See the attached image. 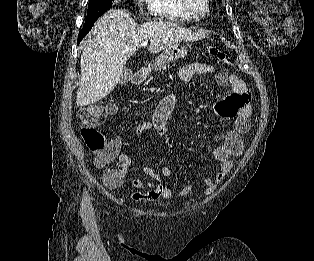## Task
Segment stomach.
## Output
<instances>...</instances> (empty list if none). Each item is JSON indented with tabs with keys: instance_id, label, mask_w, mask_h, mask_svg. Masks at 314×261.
Masks as SVG:
<instances>
[{
	"instance_id": "0dacf381",
	"label": "stomach",
	"mask_w": 314,
	"mask_h": 261,
	"mask_svg": "<svg viewBox=\"0 0 314 261\" xmlns=\"http://www.w3.org/2000/svg\"><path fill=\"white\" fill-rule=\"evenodd\" d=\"M187 55V49L184 45L176 43L168 48H166L163 53L157 58L154 68L156 70L161 69L166 63L175 61L179 58L185 57Z\"/></svg>"
}]
</instances>
